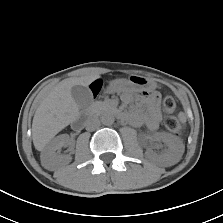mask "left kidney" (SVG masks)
I'll list each match as a JSON object with an SVG mask.
<instances>
[{"label":"left kidney","mask_w":223,"mask_h":223,"mask_svg":"<svg viewBox=\"0 0 223 223\" xmlns=\"http://www.w3.org/2000/svg\"><path fill=\"white\" fill-rule=\"evenodd\" d=\"M154 138L157 141H161L166 145V149L157 154L152 150L146 151V156L153 162L163 164L166 166H171L177 163L184 151L183 144L173 135L168 133H156Z\"/></svg>","instance_id":"1"}]
</instances>
